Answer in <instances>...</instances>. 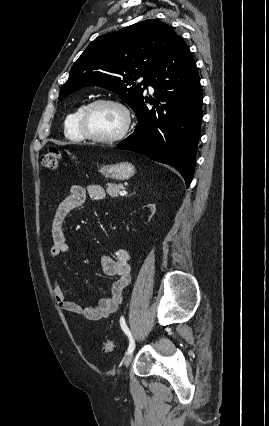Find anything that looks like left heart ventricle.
<instances>
[{"mask_svg": "<svg viewBox=\"0 0 269 426\" xmlns=\"http://www.w3.org/2000/svg\"><path fill=\"white\" fill-rule=\"evenodd\" d=\"M123 125V115L119 109L110 105H97L87 116V126L91 133L99 136L116 134Z\"/></svg>", "mask_w": 269, "mask_h": 426, "instance_id": "b2bd125f", "label": "left heart ventricle"}]
</instances>
